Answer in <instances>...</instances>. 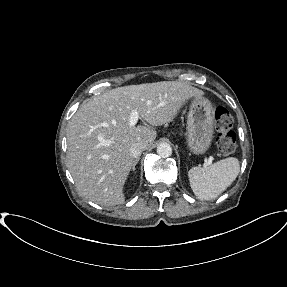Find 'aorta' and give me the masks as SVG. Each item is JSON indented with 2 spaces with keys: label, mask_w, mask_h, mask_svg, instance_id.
Here are the masks:
<instances>
[{
  "label": "aorta",
  "mask_w": 287,
  "mask_h": 287,
  "mask_svg": "<svg viewBox=\"0 0 287 287\" xmlns=\"http://www.w3.org/2000/svg\"><path fill=\"white\" fill-rule=\"evenodd\" d=\"M157 154L162 158L170 157L172 154V147L168 143H161L157 147Z\"/></svg>",
  "instance_id": "1"
}]
</instances>
